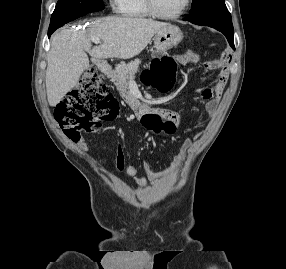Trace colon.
<instances>
[{"instance_id":"5ec220e1","label":"colon","mask_w":286,"mask_h":269,"mask_svg":"<svg viewBox=\"0 0 286 269\" xmlns=\"http://www.w3.org/2000/svg\"><path fill=\"white\" fill-rule=\"evenodd\" d=\"M169 55L166 49H153L152 57L157 60L150 63L144 76L145 83L161 91L173 87L176 62ZM117 114L118 102L94 68L87 70L79 87L65 96L55 109L56 121L72 141H77L82 131L97 130L101 123L113 120ZM143 120L144 126H151V131L160 129L161 125L172 130V122L163 121L160 114L144 116Z\"/></svg>"}]
</instances>
